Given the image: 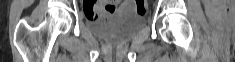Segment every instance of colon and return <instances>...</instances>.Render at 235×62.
<instances>
[{
	"mask_svg": "<svg viewBox=\"0 0 235 62\" xmlns=\"http://www.w3.org/2000/svg\"><path fill=\"white\" fill-rule=\"evenodd\" d=\"M105 1H99L88 8H86V15L90 18H99L108 15L106 7L103 5ZM136 10L140 13L146 12V1L145 0H136Z\"/></svg>",
	"mask_w": 235,
	"mask_h": 62,
	"instance_id": "obj_1",
	"label": "colon"
}]
</instances>
